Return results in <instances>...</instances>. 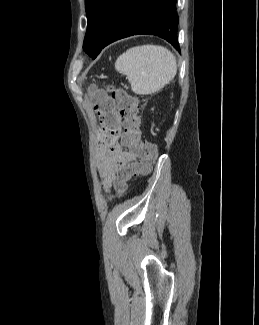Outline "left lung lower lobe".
I'll return each instance as SVG.
<instances>
[{
	"mask_svg": "<svg viewBox=\"0 0 259 325\" xmlns=\"http://www.w3.org/2000/svg\"><path fill=\"white\" fill-rule=\"evenodd\" d=\"M177 0H123L105 31L102 48L138 34L156 35L180 52L177 40Z\"/></svg>",
	"mask_w": 259,
	"mask_h": 325,
	"instance_id": "left-lung-lower-lobe-1",
	"label": "left lung lower lobe"
}]
</instances>
